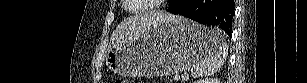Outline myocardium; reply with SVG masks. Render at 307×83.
<instances>
[{"mask_svg":"<svg viewBox=\"0 0 307 83\" xmlns=\"http://www.w3.org/2000/svg\"><path fill=\"white\" fill-rule=\"evenodd\" d=\"M126 2L128 0H125ZM164 2V0H160V1H156V3H162ZM157 5H148L147 7L140 9V10H131L130 7H126L127 11H129L130 13L133 14H141V13H145L148 12L149 10H152L154 7H156Z\"/></svg>","mask_w":307,"mask_h":83,"instance_id":"obj_1","label":"myocardium"}]
</instances>
